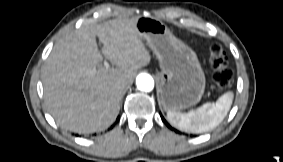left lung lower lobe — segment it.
<instances>
[{"instance_id":"1","label":"left lung lower lobe","mask_w":283,"mask_h":162,"mask_svg":"<svg viewBox=\"0 0 283 162\" xmlns=\"http://www.w3.org/2000/svg\"><path fill=\"white\" fill-rule=\"evenodd\" d=\"M162 120L168 127H170L169 124L165 121V119L163 117H162Z\"/></svg>"}]
</instances>
